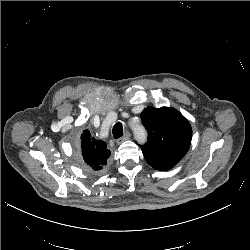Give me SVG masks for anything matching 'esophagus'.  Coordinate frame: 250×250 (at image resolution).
I'll list each match as a JSON object with an SVG mask.
<instances>
[{"mask_svg": "<svg viewBox=\"0 0 250 250\" xmlns=\"http://www.w3.org/2000/svg\"><path fill=\"white\" fill-rule=\"evenodd\" d=\"M130 133L129 132H126L125 134H124V136H122L121 138H119L118 140H117V144H121V143H123L124 141H126V140H129L130 139Z\"/></svg>", "mask_w": 250, "mask_h": 250, "instance_id": "obj_1", "label": "esophagus"}]
</instances>
